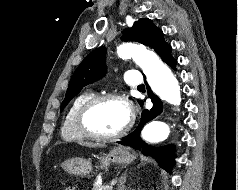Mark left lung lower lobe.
<instances>
[{
  "label": "left lung lower lobe",
  "mask_w": 238,
  "mask_h": 190,
  "mask_svg": "<svg viewBox=\"0 0 238 190\" xmlns=\"http://www.w3.org/2000/svg\"><path fill=\"white\" fill-rule=\"evenodd\" d=\"M163 61L166 62L172 69L176 70L177 60L171 56V53H169L163 59ZM149 96L154 103L152 109L143 110L141 121L137 128L131 134L117 143L141 150L144 155L152 156L157 160L158 163H160L161 166H163L165 169H169L174 165V147L172 145H167L159 148H154L142 141L140 138V131L142 127L147 122L160 115L163 110V103L161 102V100L151 92H149ZM139 103L141 105L143 104L142 101H139Z\"/></svg>",
  "instance_id": "0a47b994"
}]
</instances>
